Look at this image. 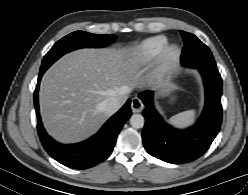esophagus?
Returning <instances> with one entry per match:
<instances>
[{"instance_id":"obj_1","label":"esophagus","mask_w":248,"mask_h":195,"mask_svg":"<svg viewBox=\"0 0 248 195\" xmlns=\"http://www.w3.org/2000/svg\"><path fill=\"white\" fill-rule=\"evenodd\" d=\"M143 108L144 104L139 98L135 97L132 99L131 109L133 113H139L143 110Z\"/></svg>"}]
</instances>
